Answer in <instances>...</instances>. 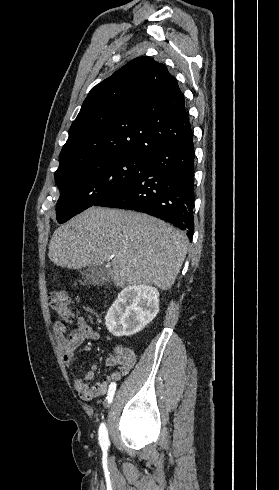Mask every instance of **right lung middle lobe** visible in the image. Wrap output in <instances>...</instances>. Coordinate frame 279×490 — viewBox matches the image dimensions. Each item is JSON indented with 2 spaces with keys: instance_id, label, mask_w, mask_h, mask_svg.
I'll use <instances>...</instances> for the list:
<instances>
[{
  "instance_id": "right-lung-middle-lobe-1",
  "label": "right lung middle lobe",
  "mask_w": 279,
  "mask_h": 490,
  "mask_svg": "<svg viewBox=\"0 0 279 490\" xmlns=\"http://www.w3.org/2000/svg\"><path fill=\"white\" fill-rule=\"evenodd\" d=\"M149 160L133 157L97 158L73 171L55 176L60 190L57 221L62 224L106 195L141 176Z\"/></svg>"
}]
</instances>
